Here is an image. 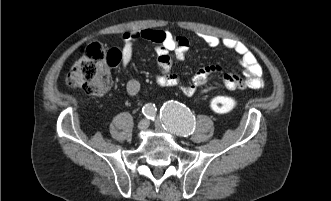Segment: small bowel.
Masks as SVG:
<instances>
[{
	"label": "small bowel",
	"instance_id": "small-bowel-1",
	"mask_svg": "<svg viewBox=\"0 0 331 201\" xmlns=\"http://www.w3.org/2000/svg\"><path fill=\"white\" fill-rule=\"evenodd\" d=\"M199 37L209 47L224 46L233 50L239 57V63L244 68V77L226 73L222 76V83L228 90L235 89H259L263 87V69L253 52L242 42L219 38L210 34H200ZM144 40L155 43L156 53L161 73L156 77V82L162 87H177L186 96L194 95L198 89L206 92L211 89L207 85L211 74L220 71L219 67L206 66L197 71L192 81L185 84L172 71V55L179 60H184L189 48V41L182 35H175L168 31L157 29H140L125 32L121 37L120 62L127 67L132 59L133 47L137 41ZM141 85L137 79H130L126 83L127 93L134 97L140 92Z\"/></svg>",
	"mask_w": 331,
	"mask_h": 201
}]
</instances>
